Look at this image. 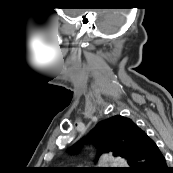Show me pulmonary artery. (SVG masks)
Returning <instances> with one entry per match:
<instances>
[{
    "label": "pulmonary artery",
    "instance_id": "e3ab8cb5",
    "mask_svg": "<svg viewBox=\"0 0 173 173\" xmlns=\"http://www.w3.org/2000/svg\"><path fill=\"white\" fill-rule=\"evenodd\" d=\"M105 164H107L110 167H120L124 165V162L120 158L108 155V157L105 159Z\"/></svg>",
    "mask_w": 173,
    "mask_h": 173
}]
</instances>
